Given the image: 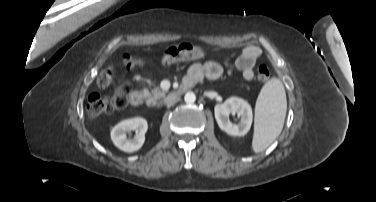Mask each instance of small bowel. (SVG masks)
<instances>
[{"instance_id":"1","label":"small bowel","mask_w":376,"mask_h":202,"mask_svg":"<svg viewBox=\"0 0 376 202\" xmlns=\"http://www.w3.org/2000/svg\"><path fill=\"white\" fill-rule=\"evenodd\" d=\"M260 57L261 50L256 46H249L245 48L237 58L236 66L241 71L245 80H251L253 78V67ZM221 74V66L214 61H209L205 64L195 63L189 67L184 83L193 86L203 78L216 80Z\"/></svg>"}]
</instances>
